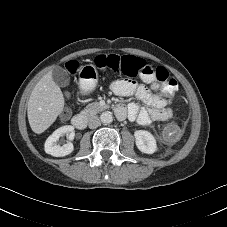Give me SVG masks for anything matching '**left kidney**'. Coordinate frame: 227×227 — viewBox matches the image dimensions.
<instances>
[{
  "mask_svg": "<svg viewBox=\"0 0 227 227\" xmlns=\"http://www.w3.org/2000/svg\"><path fill=\"white\" fill-rule=\"evenodd\" d=\"M137 148L146 154H153L157 151V144L154 136L146 130L134 132Z\"/></svg>",
  "mask_w": 227,
  "mask_h": 227,
  "instance_id": "5707ae66",
  "label": "left kidney"
}]
</instances>
